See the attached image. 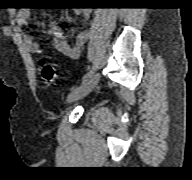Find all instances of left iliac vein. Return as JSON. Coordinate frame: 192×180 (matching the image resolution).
<instances>
[{"label":"left iliac vein","instance_id":"1","mask_svg":"<svg viewBox=\"0 0 192 180\" xmlns=\"http://www.w3.org/2000/svg\"><path fill=\"white\" fill-rule=\"evenodd\" d=\"M99 80H100V74L99 73L93 74L88 80H86L79 87L74 89L68 95L67 101L71 103L85 97L94 89V87L98 84Z\"/></svg>","mask_w":192,"mask_h":180}]
</instances>
